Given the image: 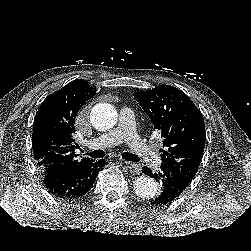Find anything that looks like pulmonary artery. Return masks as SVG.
<instances>
[{"instance_id": "obj_1", "label": "pulmonary artery", "mask_w": 251, "mask_h": 251, "mask_svg": "<svg viewBox=\"0 0 251 251\" xmlns=\"http://www.w3.org/2000/svg\"><path fill=\"white\" fill-rule=\"evenodd\" d=\"M121 142L129 144L152 168L160 166V159L153 147L139 137L134 114L128 108L122 109L120 123L117 128L103 134L99 139L89 144L103 148L111 147Z\"/></svg>"}]
</instances>
